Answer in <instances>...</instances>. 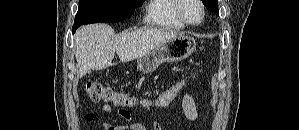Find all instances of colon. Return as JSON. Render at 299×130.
<instances>
[{"mask_svg":"<svg viewBox=\"0 0 299 130\" xmlns=\"http://www.w3.org/2000/svg\"><path fill=\"white\" fill-rule=\"evenodd\" d=\"M197 73H191L183 78L175 81L165 90L159 93L153 100H145V107H165L172 103L184 90L186 84L196 77ZM86 92L90 99L95 102L106 101L111 102L115 106L128 108L136 105L137 100L134 96L114 90L112 87L103 85L102 83L90 81L86 85Z\"/></svg>","mask_w":299,"mask_h":130,"instance_id":"5ec220e1","label":"colon"}]
</instances>
